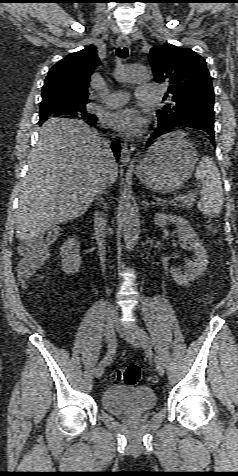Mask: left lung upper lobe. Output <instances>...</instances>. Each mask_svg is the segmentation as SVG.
I'll use <instances>...</instances> for the list:
<instances>
[{"instance_id":"left-lung-upper-lobe-1","label":"left lung upper lobe","mask_w":238,"mask_h":476,"mask_svg":"<svg viewBox=\"0 0 238 476\" xmlns=\"http://www.w3.org/2000/svg\"><path fill=\"white\" fill-rule=\"evenodd\" d=\"M150 63L157 82L168 86L172 100L157 111L158 121H177L201 116L214 120V91L205 60L187 48L166 43L150 50Z\"/></svg>"}]
</instances>
